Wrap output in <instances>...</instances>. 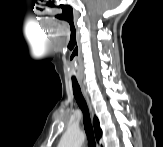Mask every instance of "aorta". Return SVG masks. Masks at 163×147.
<instances>
[{
    "label": "aorta",
    "mask_w": 163,
    "mask_h": 147,
    "mask_svg": "<svg viewBox=\"0 0 163 147\" xmlns=\"http://www.w3.org/2000/svg\"><path fill=\"white\" fill-rule=\"evenodd\" d=\"M84 139V134L79 128L71 127L62 136L59 147H81Z\"/></svg>",
    "instance_id": "762f6f07"
}]
</instances>
